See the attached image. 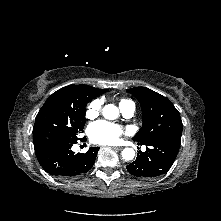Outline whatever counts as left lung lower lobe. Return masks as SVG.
Listing matches in <instances>:
<instances>
[{
  "label": "left lung lower lobe",
  "instance_id": "1",
  "mask_svg": "<svg viewBox=\"0 0 221 221\" xmlns=\"http://www.w3.org/2000/svg\"><path fill=\"white\" fill-rule=\"evenodd\" d=\"M181 139L161 136L147 140L145 152L139 151L134 162L126 166L128 172L137 177H157L165 174L173 165L180 148Z\"/></svg>",
  "mask_w": 221,
  "mask_h": 221
}]
</instances>
